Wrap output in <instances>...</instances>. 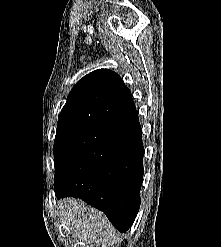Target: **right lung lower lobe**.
Returning <instances> with one entry per match:
<instances>
[{
  "instance_id": "98d812e1",
  "label": "right lung lower lobe",
  "mask_w": 221,
  "mask_h": 247,
  "mask_svg": "<svg viewBox=\"0 0 221 247\" xmlns=\"http://www.w3.org/2000/svg\"><path fill=\"white\" fill-rule=\"evenodd\" d=\"M143 149L136 109L85 129L55 162L57 199L81 198L126 232L140 208Z\"/></svg>"
}]
</instances>
